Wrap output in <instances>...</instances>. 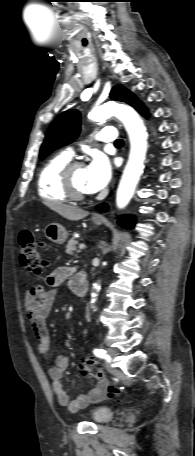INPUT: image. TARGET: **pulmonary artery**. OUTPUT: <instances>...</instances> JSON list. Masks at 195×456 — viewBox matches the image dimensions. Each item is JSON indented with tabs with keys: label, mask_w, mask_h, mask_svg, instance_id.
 Wrapping results in <instances>:
<instances>
[{
	"label": "pulmonary artery",
	"mask_w": 195,
	"mask_h": 456,
	"mask_svg": "<svg viewBox=\"0 0 195 456\" xmlns=\"http://www.w3.org/2000/svg\"><path fill=\"white\" fill-rule=\"evenodd\" d=\"M95 139L101 142H114L117 139L116 129L114 127H106L96 133ZM65 153L70 157L74 155V151L71 148H68Z\"/></svg>",
	"instance_id": "obj_1"
}]
</instances>
